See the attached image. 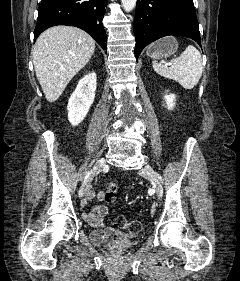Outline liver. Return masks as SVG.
Returning a JSON list of instances; mask_svg holds the SVG:
<instances>
[{
	"label": "liver",
	"instance_id": "liver-1",
	"mask_svg": "<svg viewBox=\"0 0 240 281\" xmlns=\"http://www.w3.org/2000/svg\"><path fill=\"white\" fill-rule=\"evenodd\" d=\"M95 41L85 31L71 26H55L38 37L33 64L45 98L56 101L71 79L89 62Z\"/></svg>",
	"mask_w": 240,
	"mask_h": 281
}]
</instances>
